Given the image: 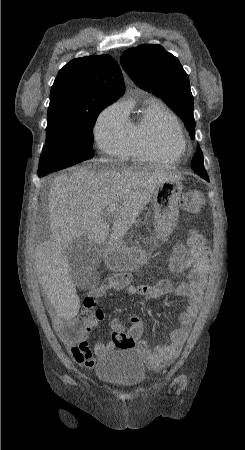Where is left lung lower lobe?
Masks as SVG:
<instances>
[{"label":"left lung lower lobe","instance_id":"0a47b994","mask_svg":"<svg viewBox=\"0 0 245 450\" xmlns=\"http://www.w3.org/2000/svg\"><path fill=\"white\" fill-rule=\"evenodd\" d=\"M202 178H204L205 180L209 181L208 176L207 175H202Z\"/></svg>","mask_w":245,"mask_h":450}]
</instances>
